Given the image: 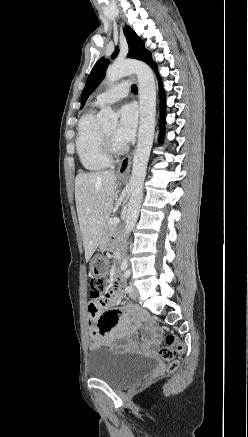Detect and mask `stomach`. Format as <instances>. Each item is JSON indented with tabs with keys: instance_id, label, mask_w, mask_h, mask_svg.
<instances>
[{
	"instance_id": "0dacf381",
	"label": "stomach",
	"mask_w": 248,
	"mask_h": 437,
	"mask_svg": "<svg viewBox=\"0 0 248 437\" xmlns=\"http://www.w3.org/2000/svg\"><path fill=\"white\" fill-rule=\"evenodd\" d=\"M90 273H95L97 279H102L104 273L108 271V264L104 262V258L100 255L95 256L89 266Z\"/></svg>"
}]
</instances>
